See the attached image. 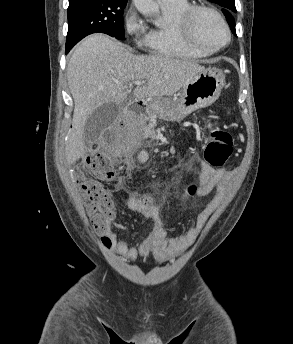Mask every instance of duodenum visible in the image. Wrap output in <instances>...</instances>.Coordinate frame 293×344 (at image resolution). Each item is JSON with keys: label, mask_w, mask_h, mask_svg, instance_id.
<instances>
[{"label": "duodenum", "mask_w": 293, "mask_h": 344, "mask_svg": "<svg viewBox=\"0 0 293 344\" xmlns=\"http://www.w3.org/2000/svg\"><path fill=\"white\" fill-rule=\"evenodd\" d=\"M134 110H135V109H133L131 106H127V107L125 108V112H124V115H123L122 120H121V125H124V124L126 123L128 116H129L131 113H133ZM137 110H138V111H142L143 108L140 107V106H138Z\"/></svg>", "instance_id": "duodenum-1"}]
</instances>
